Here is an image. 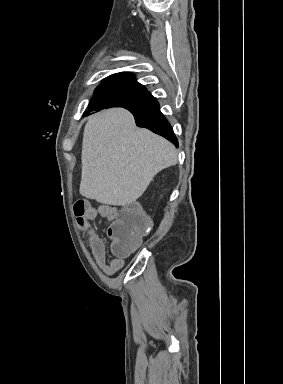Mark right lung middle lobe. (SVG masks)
Returning <instances> with one entry per match:
<instances>
[{
	"instance_id": "obj_1",
	"label": "right lung middle lobe",
	"mask_w": 283,
	"mask_h": 384,
	"mask_svg": "<svg viewBox=\"0 0 283 384\" xmlns=\"http://www.w3.org/2000/svg\"><path fill=\"white\" fill-rule=\"evenodd\" d=\"M91 99L89 109L101 110L110 107L144 109L152 106L156 100L150 92L135 88L99 86Z\"/></svg>"
}]
</instances>
